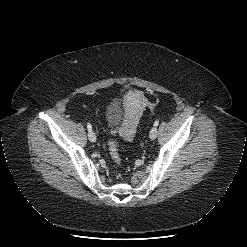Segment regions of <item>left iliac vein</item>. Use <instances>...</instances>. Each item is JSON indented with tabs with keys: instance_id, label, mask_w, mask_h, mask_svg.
<instances>
[{
	"instance_id": "4c4485c4",
	"label": "left iliac vein",
	"mask_w": 247,
	"mask_h": 247,
	"mask_svg": "<svg viewBox=\"0 0 247 247\" xmlns=\"http://www.w3.org/2000/svg\"><path fill=\"white\" fill-rule=\"evenodd\" d=\"M158 135V130H157V127L154 126L152 127V129L150 130V134H149V137L150 139L154 140Z\"/></svg>"
}]
</instances>
